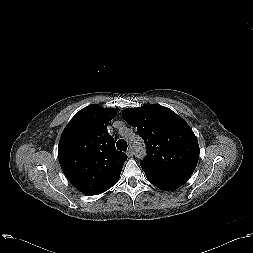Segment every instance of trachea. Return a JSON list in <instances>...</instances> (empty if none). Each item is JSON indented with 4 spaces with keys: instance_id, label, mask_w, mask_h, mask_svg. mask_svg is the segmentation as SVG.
Here are the masks:
<instances>
[{
    "instance_id": "3493384b",
    "label": "trachea",
    "mask_w": 253,
    "mask_h": 253,
    "mask_svg": "<svg viewBox=\"0 0 253 253\" xmlns=\"http://www.w3.org/2000/svg\"><path fill=\"white\" fill-rule=\"evenodd\" d=\"M116 147L120 151H126L127 150V142L124 139H119L116 143Z\"/></svg>"
}]
</instances>
